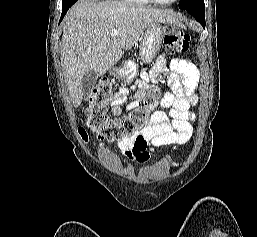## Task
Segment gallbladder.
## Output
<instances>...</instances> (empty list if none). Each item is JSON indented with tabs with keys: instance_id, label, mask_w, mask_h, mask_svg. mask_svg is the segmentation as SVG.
<instances>
[{
	"instance_id": "1",
	"label": "gallbladder",
	"mask_w": 257,
	"mask_h": 237,
	"mask_svg": "<svg viewBox=\"0 0 257 237\" xmlns=\"http://www.w3.org/2000/svg\"><path fill=\"white\" fill-rule=\"evenodd\" d=\"M97 79L98 75L93 70H89L83 75L81 85L84 96L87 97L90 95V93L96 85Z\"/></svg>"
}]
</instances>
